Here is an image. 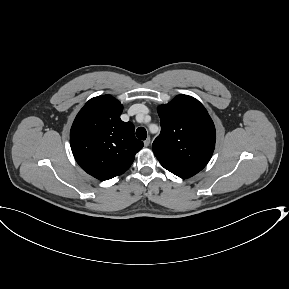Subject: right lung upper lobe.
Segmentation results:
<instances>
[{"instance_id": "1", "label": "right lung upper lobe", "mask_w": 289, "mask_h": 289, "mask_svg": "<svg viewBox=\"0 0 289 289\" xmlns=\"http://www.w3.org/2000/svg\"><path fill=\"white\" fill-rule=\"evenodd\" d=\"M123 106L110 95L90 99L76 116L70 145L77 163L88 174L108 180L129 169L143 142L134 125L120 119Z\"/></svg>"}]
</instances>
